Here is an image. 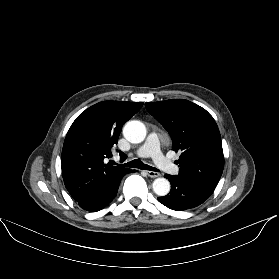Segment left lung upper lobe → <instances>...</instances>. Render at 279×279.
Masks as SVG:
<instances>
[{"mask_svg":"<svg viewBox=\"0 0 279 279\" xmlns=\"http://www.w3.org/2000/svg\"><path fill=\"white\" fill-rule=\"evenodd\" d=\"M145 107L170 134L172 150L181 153L176 161L178 177L212 193L224 168L221 136L213 117L183 99L146 103Z\"/></svg>","mask_w":279,"mask_h":279,"instance_id":"obj_1","label":"left lung upper lobe"}]
</instances>
